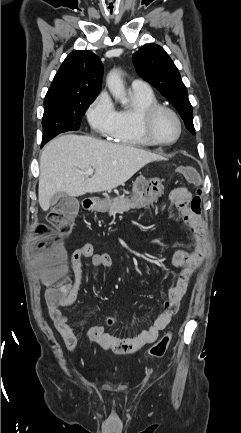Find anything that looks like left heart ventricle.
<instances>
[{
	"label": "left heart ventricle",
	"instance_id": "b2bd125f",
	"mask_svg": "<svg viewBox=\"0 0 241 433\" xmlns=\"http://www.w3.org/2000/svg\"><path fill=\"white\" fill-rule=\"evenodd\" d=\"M153 132L159 140L168 142L176 137L178 128L174 118L170 114L162 112L154 121Z\"/></svg>",
	"mask_w": 241,
	"mask_h": 433
}]
</instances>
